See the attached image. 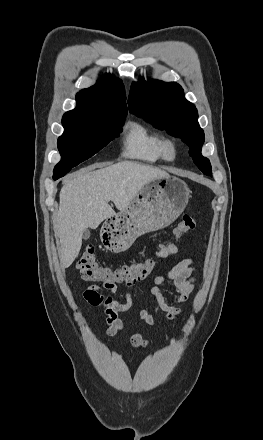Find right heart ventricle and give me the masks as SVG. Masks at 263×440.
Segmentation results:
<instances>
[{
	"mask_svg": "<svg viewBox=\"0 0 263 440\" xmlns=\"http://www.w3.org/2000/svg\"><path fill=\"white\" fill-rule=\"evenodd\" d=\"M163 137L149 126L129 122L123 137L122 154L127 158L154 163L165 159L162 152Z\"/></svg>",
	"mask_w": 263,
	"mask_h": 440,
	"instance_id": "obj_1",
	"label": "right heart ventricle"
}]
</instances>
